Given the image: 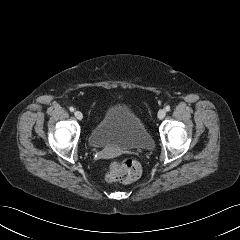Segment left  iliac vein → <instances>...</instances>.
<instances>
[{
	"label": "left iliac vein",
	"mask_w": 240,
	"mask_h": 240,
	"mask_svg": "<svg viewBox=\"0 0 240 240\" xmlns=\"http://www.w3.org/2000/svg\"><path fill=\"white\" fill-rule=\"evenodd\" d=\"M165 115H166L165 110H163V109L159 110V112H158V118L159 119H163L165 117Z\"/></svg>",
	"instance_id": "left-iliac-vein-1"
}]
</instances>
